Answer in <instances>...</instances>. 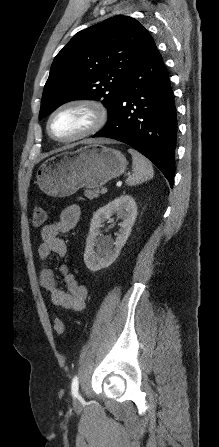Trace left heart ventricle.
Masks as SVG:
<instances>
[{
    "mask_svg": "<svg viewBox=\"0 0 219 447\" xmlns=\"http://www.w3.org/2000/svg\"><path fill=\"white\" fill-rule=\"evenodd\" d=\"M91 121L92 117L86 110L67 109L54 117L51 128L54 135L67 138L82 132L90 125Z\"/></svg>",
    "mask_w": 219,
    "mask_h": 447,
    "instance_id": "b2bd125f",
    "label": "left heart ventricle"
}]
</instances>
